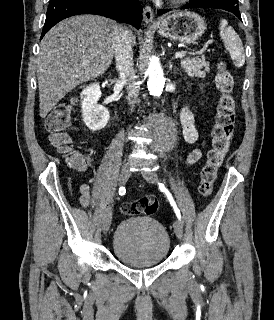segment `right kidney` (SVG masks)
<instances>
[{"mask_svg":"<svg viewBox=\"0 0 274 320\" xmlns=\"http://www.w3.org/2000/svg\"><path fill=\"white\" fill-rule=\"evenodd\" d=\"M81 98V112L85 126L91 132H98L107 126L111 116L108 108L98 104L101 98V88L98 82L89 84L80 94Z\"/></svg>","mask_w":274,"mask_h":320,"instance_id":"right-kidney-1","label":"right kidney"}]
</instances>
